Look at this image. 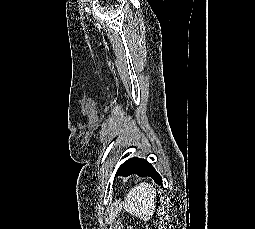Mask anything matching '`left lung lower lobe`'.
Masks as SVG:
<instances>
[{
    "instance_id": "1",
    "label": "left lung lower lobe",
    "mask_w": 255,
    "mask_h": 229,
    "mask_svg": "<svg viewBox=\"0 0 255 229\" xmlns=\"http://www.w3.org/2000/svg\"><path fill=\"white\" fill-rule=\"evenodd\" d=\"M131 174H137L139 176H149L153 180L162 186V178L153 168V166L144 159L133 157L125 161L117 170L116 175L129 176Z\"/></svg>"
}]
</instances>
